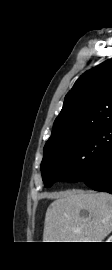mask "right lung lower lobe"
<instances>
[{
    "label": "right lung lower lobe",
    "mask_w": 112,
    "mask_h": 270,
    "mask_svg": "<svg viewBox=\"0 0 112 270\" xmlns=\"http://www.w3.org/2000/svg\"><path fill=\"white\" fill-rule=\"evenodd\" d=\"M83 181L94 190L112 194V146L102 154L97 167Z\"/></svg>",
    "instance_id": "obj_1"
}]
</instances>
